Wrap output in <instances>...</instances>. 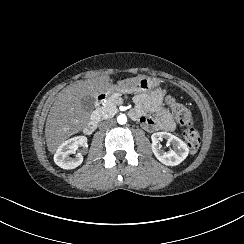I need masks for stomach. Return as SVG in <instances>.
Returning <instances> with one entry per match:
<instances>
[{
    "instance_id": "1",
    "label": "stomach",
    "mask_w": 244,
    "mask_h": 244,
    "mask_svg": "<svg viewBox=\"0 0 244 244\" xmlns=\"http://www.w3.org/2000/svg\"><path fill=\"white\" fill-rule=\"evenodd\" d=\"M158 80L151 79L145 76L139 77L136 80L127 79L122 81L119 86L109 85L107 89L104 91L106 95H111L114 91H121L123 93H134L139 92L141 90H147L150 87H157Z\"/></svg>"
}]
</instances>
